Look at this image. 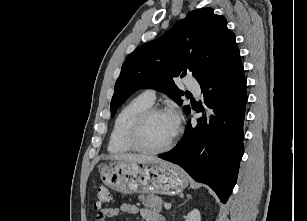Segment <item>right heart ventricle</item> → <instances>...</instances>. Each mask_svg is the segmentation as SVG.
Instances as JSON below:
<instances>
[{
	"mask_svg": "<svg viewBox=\"0 0 307 221\" xmlns=\"http://www.w3.org/2000/svg\"><path fill=\"white\" fill-rule=\"evenodd\" d=\"M153 102L144 95L130 100L118 112L112 127L108 142V151L112 154H122L131 151L127 142V133L134 118L144 109L151 107Z\"/></svg>",
	"mask_w": 307,
	"mask_h": 221,
	"instance_id": "right-heart-ventricle-1",
	"label": "right heart ventricle"
}]
</instances>
